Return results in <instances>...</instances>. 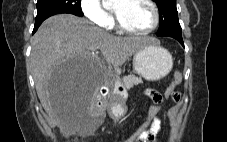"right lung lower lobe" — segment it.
<instances>
[{
	"instance_id": "right-lung-lower-lobe-1",
	"label": "right lung lower lobe",
	"mask_w": 227,
	"mask_h": 142,
	"mask_svg": "<svg viewBox=\"0 0 227 142\" xmlns=\"http://www.w3.org/2000/svg\"><path fill=\"white\" fill-rule=\"evenodd\" d=\"M48 18V17H47ZM46 18H40V19H36L35 22V26L33 29V33H35V31L38 29V27L40 26V24L45 20Z\"/></svg>"
}]
</instances>
